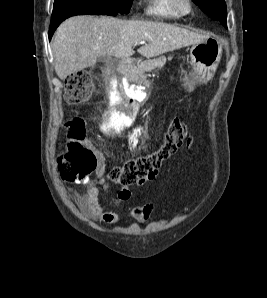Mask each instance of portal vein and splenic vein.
<instances>
[{
    "instance_id": "1",
    "label": "portal vein and splenic vein",
    "mask_w": 267,
    "mask_h": 298,
    "mask_svg": "<svg viewBox=\"0 0 267 298\" xmlns=\"http://www.w3.org/2000/svg\"><path fill=\"white\" fill-rule=\"evenodd\" d=\"M146 41H140L138 44H145Z\"/></svg>"
}]
</instances>
